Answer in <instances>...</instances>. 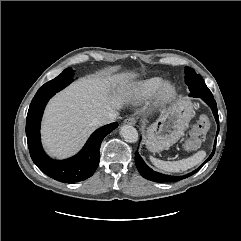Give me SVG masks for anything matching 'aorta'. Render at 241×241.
Returning a JSON list of instances; mask_svg holds the SVG:
<instances>
[{
	"mask_svg": "<svg viewBox=\"0 0 241 241\" xmlns=\"http://www.w3.org/2000/svg\"><path fill=\"white\" fill-rule=\"evenodd\" d=\"M120 135L130 143H134L138 140V132L136 128L131 125H123L120 129Z\"/></svg>",
	"mask_w": 241,
	"mask_h": 241,
	"instance_id": "1",
	"label": "aorta"
}]
</instances>
